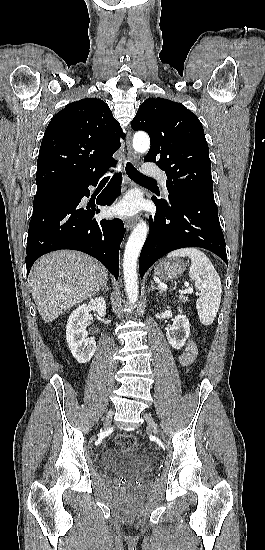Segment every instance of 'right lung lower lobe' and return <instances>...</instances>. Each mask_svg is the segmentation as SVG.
<instances>
[{
    "mask_svg": "<svg viewBox=\"0 0 265 550\" xmlns=\"http://www.w3.org/2000/svg\"><path fill=\"white\" fill-rule=\"evenodd\" d=\"M99 177L76 183L64 195L33 207L26 250L27 275L40 256L59 249H73L95 257L118 279L123 222L96 220L93 217L100 212L98 207L80 205L81 199L90 194L89 185L96 186ZM121 180L120 173L114 175L96 203L111 205L120 194Z\"/></svg>",
    "mask_w": 265,
    "mask_h": 550,
    "instance_id": "1",
    "label": "right lung lower lobe"
}]
</instances>
